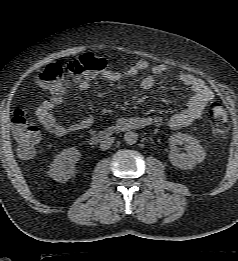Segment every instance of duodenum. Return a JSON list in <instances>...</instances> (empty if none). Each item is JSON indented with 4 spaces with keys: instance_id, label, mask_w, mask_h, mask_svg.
Listing matches in <instances>:
<instances>
[{
    "instance_id": "duodenum-1",
    "label": "duodenum",
    "mask_w": 238,
    "mask_h": 261,
    "mask_svg": "<svg viewBox=\"0 0 238 261\" xmlns=\"http://www.w3.org/2000/svg\"><path fill=\"white\" fill-rule=\"evenodd\" d=\"M131 129H135V126L132 124H116V125H112L109 126L99 132H97L96 134L92 135L89 138V142L90 144L94 145V144H98L102 141H105L107 139H109L110 137H112L114 134L118 133V132H122V131H126V130H131Z\"/></svg>"
}]
</instances>
